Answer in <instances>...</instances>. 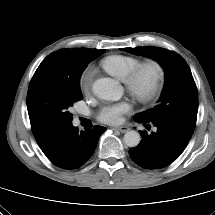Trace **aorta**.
Returning <instances> with one entry per match:
<instances>
[{
  "instance_id": "1",
  "label": "aorta",
  "mask_w": 215,
  "mask_h": 215,
  "mask_svg": "<svg viewBox=\"0 0 215 215\" xmlns=\"http://www.w3.org/2000/svg\"><path fill=\"white\" fill-rule=\"evenodd\" d=\"M93 93L104 100H119L122 97V87L112 78H99L92 86ZM124 143L128 147L139 145L141 136L137 131L131 130L124 134Z\"/></svg>"
}]
</instances>
